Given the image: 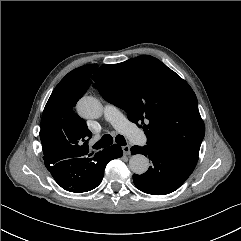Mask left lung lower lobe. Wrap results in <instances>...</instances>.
I'll return each instance as SVG.
<instances>
[{"label":"left lung lower lobe","instance_id":"0a47b994","mask_svg":"<svg viewBox=\"0 0 241 241\" xmlns=\"http://www.w3.org/2000/svg\"><path fill=\"white\" fill-rule=\"evenodd\" d=\"M131 153L148 156L152 166L142 175H133L136 187L148 194L165 195L178 189L191 175L197 161L152 146H133Z\"/></svg>","mask_w":241,"mask_h":241}]
</instances>
